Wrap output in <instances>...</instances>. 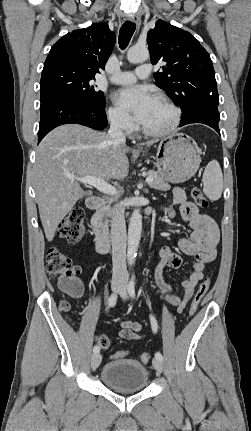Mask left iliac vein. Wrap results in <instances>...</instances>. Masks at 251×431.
Masks as SVG:
<instances>
[{
  "label": "left iliac vein",
  "mask_w": 251,
  "mask_h": 431,
  "mask_svg": "<svg viewBox=\"0 0 251 431\" xmlns=\"http://www.w3.org/2000/svg\"><path fill=\"white\" fill-rule=\"evenodd\" d=\"M119 294L123 300L127 299L128 294H127V288L125 285L121 286L119 290ZM153 366L158 372L161 373L163 371V363L161 360L157 359L156 357L153 359Z\"/></svg>",
  "instance_id": "4c4485c4"
}]
</instances>
